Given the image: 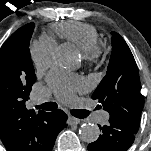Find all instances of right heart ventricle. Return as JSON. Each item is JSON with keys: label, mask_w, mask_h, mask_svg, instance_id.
Instances as JSON below:
<instances>
[{"label": "right heart ventricle", "mask_w": 151, "mask_h": 151, "mask_svg": "<svg viewBox=\"0 0 151 151\" xmlns=\"http://www.w3.org/2000/svg\"><path fill=\"white\" fill-rule=\"evenodd\" d=\"M50 31L55 37L72 42L82 50L89 49L99 43L96 29L82 22H58L50 27Z\"/></svg>", "instance_id": "e07e8e85"}]
</instances>
